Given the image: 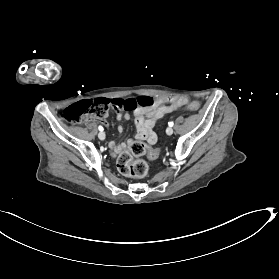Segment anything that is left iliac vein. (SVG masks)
Returning <instances> with one entry per match:
<instances>
[{"instance_id": "1", "label": "left iliac vein", "mask_w": 279, "mask_h": 279, "mask_svg": "<svg viewBox=\"0 0 279 279\" xmlns=\"http://www.w3.org/2000/svg\"><path fill=\"white\" fill-rule=\"evenodd\" d=\"M166 133H167V135H172V134H173V129H172V127H168V128L166 129Z\"/></svg>"}]
</instances>
